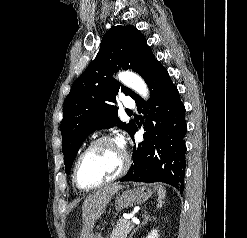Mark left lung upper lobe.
Listing matches in <instances>:
<instances>
[{"label":"left lung upper lobe","mask_w":247,"mask_h":238,"mask_svg":"<svg viewBox=\"0 0 247 238\" xmlns=\"http://www.w3.org/2000/svg\"><path fill=\"white\" fill-rule=\"evenodd\" d=\"M159 64L137 28L118 25L106 32L96 58L73 83L64 101L61 133L66 173L89 134L116 124L131 134L135 127L133 121L125 124L119 120L117 107L113 103L119 91L133 99L139 96L120 86L112 77L113 73L119 69H132L147 83Z\"/></svg>","instance_id":"left-lung-upper-lobe-1"}]
</instances>
